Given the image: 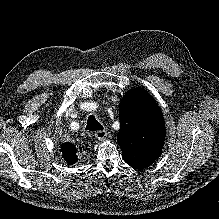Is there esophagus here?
Listing matches in <instances>:
<instances>
[{
  "mask_svg": "<svg viewBox=\"0 0 219 219\" xmlns=\"http://www.w3.org/2000/svg\"><path fill=\"white\" fill-rule=\"evenodd\" d=\"M107 131L106 130H99V131H96L95 132V137L98 139V140H104L107 136Z\"/></svg>",
  "mask_w": 219,
  "mask_h": 219,
  "instance_id": "34e87169",
  "label": "esophagus"
}]
</instances>
